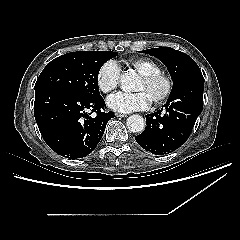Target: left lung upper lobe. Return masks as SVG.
I'll list each match as a JSON object with an SVG mask.
<instances>
[{"instance_id":"1","label":"left lung upper lobe","mask_w":240,"mask_h":240,"mask_svg":"<svg viewBox=\"0 0 240 240\" xmlns=\"http://www.w3.org/2000/svg\"><path fill=\"white\" fill-rule=\"evenodd\" d=\"M157 57L167 67L172 76V92L196 81H204L203 75L195 61L187 54L173 48H153L144 50Z\"/></svg>"}]
</instances>
